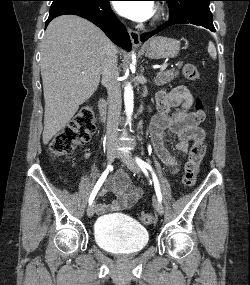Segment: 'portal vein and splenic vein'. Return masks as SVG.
Returning a JSON list of instances; mask_svg holds the SVG:
<instances>
[{"label": "portal vein and splenic vein", "instance_id": "obj_1", "mask_svg": "<svg viewBox=\"0 0 250 285\" xmlns=\"http://www.w3.org/2000/svg\"><path fill=\"white\" fill-rule=\"evenodd\" d=\"M166 67H167V64H166V65L161 66L160 71L165 70V69H166Z\"/></svg>", "mask_w": 250, "mask_h": 285}]
</instances>
